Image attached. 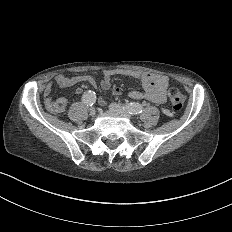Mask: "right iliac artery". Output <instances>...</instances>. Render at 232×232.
<instances>
[{
  "label": "right iliac artery",
  "mask_w": 232,
  "mask_h": 232,
  "mask_svg": "<svg viewBox=\"0 0 232 232\" xmlns=\"http://www.w3.org/2000/svg\"><path fill=\"white\" fill-rule=\"evenodd\" d=\"M82 101L87 105H93L96 102L95 92L88 90L82 95Z\"/></svg>",
  "instance_id": "obj_1"
}]
</instances>
